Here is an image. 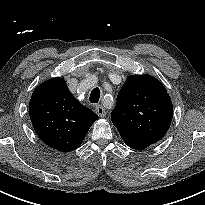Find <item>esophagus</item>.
I'll use <instances>...</instances> for the list:
<instances>
[{"label":"esophagus","instance_id":"esophagus-1","mask_svg":"<svg viewBox=\"0 0 205 205\" xmlns=\"http://www.w3.org/2000/svg\"><path fill=\"white\" fill-rule=\"evenodd\" d=\"M95 112L100 117H105L106 116V111H105V108L103 107V105H96Z\"/></svg>","mask_w":205,"mask_h":205}]
</instances>
